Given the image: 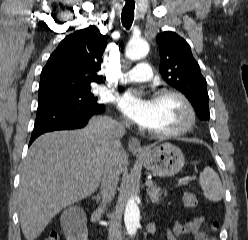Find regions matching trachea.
I'll return each instance as SVG.
<instances>
[{"mask_svg": "<svg viewBox=\"0 0 248 240\" xmlns=\"http://www.w3.org/2000/svg\"><path fill=\"white\" fill-rule=\"evenodd\" d=\"M135 3L133 1H127L122 9L121 20L123 26L128 30L130 29L134 20Z\"/></svg>", "mask_w": 248, "mask_h": 240, "instance_id": "3493384b", "label": "trachea"}]
</instances>
